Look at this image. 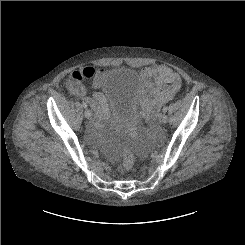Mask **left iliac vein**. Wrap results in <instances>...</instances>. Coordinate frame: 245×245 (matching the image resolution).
I'll return each instance as SVG.
<instances>
[{
    "mask_svg": "<svg viewBox=\"0 0 245 245\" xmlns=\"http://www.w3.org/2000/svg\"><path fill=\"white\" fill-rule=\"evenodd\" d=\"M167 121H168V116L165 113L162 114L160 117V122L165 124L167 123Z\"/></svg>",
    "mask_w": 245,
    "mask_h": 245,
    "instance_id": "left-iliac-vein-1",
    "label": "left iliac vein"
}]
</instances>
